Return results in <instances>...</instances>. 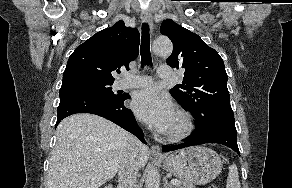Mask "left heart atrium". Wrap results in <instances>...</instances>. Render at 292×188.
<instances>
[{
	"instance_id": "obj_1",
	"label": "left heart atrium",
	"mask_w": 292,
	"mask_h": 188,
	"mask_svg": "<svg viewBox=\"0 0 292 188\" xmlns=\"http://www.w3.org/2000/svg\"><path fill=\"white\" fill-rule=\"evenodd\" d=\"M132 109L139 119L159 132H168L177 115L170 99L154 88L136 93Z\"/></svg>"
}]
</instances>
